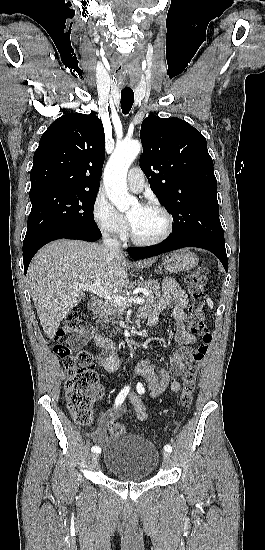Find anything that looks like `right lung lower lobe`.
<instances>
[{"label": "right lung lower lobe", "mask_w": 265, "mask_h": 550, "mask_svg": "<svg viewBox=\"0 0 265 550\" xmlns=\"http://www.w3.org/2000/svg\"><path fill=\"white\" fill-rule=\"evenodd\" d=\"M101 237L100 230L97 229H87V228H77V227H66L58 229L54 232L48 233L41 237H38L27 244H23V261H24V273H27V269L31 259L35 253L45 244L61 239H79L84 241L94 242Z\"/></svg>", "instance_id": "obj_1"}]
</instances>
